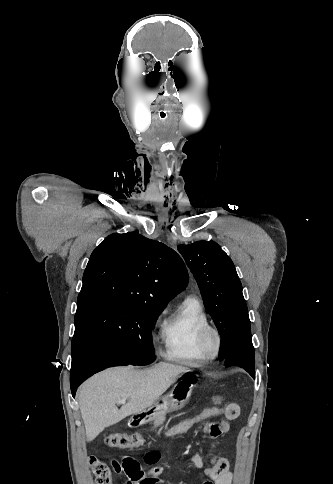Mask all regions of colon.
Returning <instances> with one entry per match:
<instances>
[{
	"mask_svg": "<svg viewBox=\"0 0 333 484\" xmlns=\"http://www.w3.org/2000/svg\"><path fill=\"white\" fill-rule=\"evenodd\" d=\"M220 408L216 406L207 407L200 412L179 420L171 425L163 434L165 438H177L192 431L194 428L205 424L214 417L220 416ZM145 442L141 434L112 433L105 438L109 447L127 448L140 446ZM90 464L96 484H112L110 469L102 461L91 458Z\"/></svg>",
	"mask_w": 333,
	"mask_h": 484,
	"instance_id": "colon-1",
	"label": "colon"
}]
</instances>
